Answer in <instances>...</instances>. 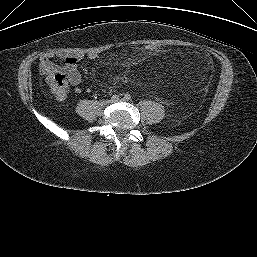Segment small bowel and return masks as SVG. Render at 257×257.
Here are the masks:
<instances>
[{
    "label": "small bowel",
    "instance_id": "c3829d8e",
    "mask_svg": "<svg viewBox=\"0 0 257 257\" xmlns=\"http://www.w3.org/2000/svg\"><path fill=\"white\" fill-rule=\"evenodd\" d=\"M83 54H75L66 56L63 58V64L57 65L49 60L48 57H44L40 63V70L43 72L48 68L58 69L67 75L68 81L72 86H78L81 83L82 75L78 68V63L83 59ZM96 54H90V59H95Z\"/></svg>",
    "mask_w": 257,
    "mask_h": 257
}]
</instances>
